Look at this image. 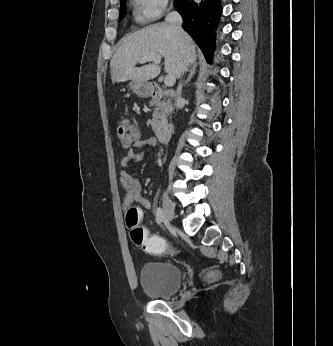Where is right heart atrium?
<instances>
[{
	"label": "right heart atrium",
	"instance_id": "right-heart-atrium-1",
	"mask_svg": "<svg viewBox=\"0 0 333 346\" xmlns=\"http://www.w3.org/2000/svg\"><path fill=\"white\" fill-rule=\"evenodd\" d=\"M135 2L138 19L152 21L166 10L169 0H135Z\"/></svg>",
	"mask_w": 333,
	"mask_h": 346
}]
</instances>
